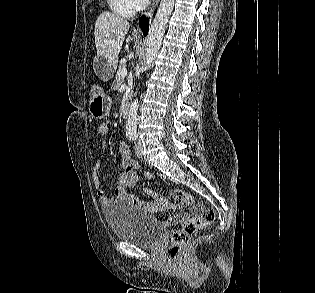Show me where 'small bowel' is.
<instances>
[{
	"instance_id": "c3829d8e",
	"label": "small bowel",
	"mask_w": 315,
	"mask_h": 293,
	"mask_svg": "<svg viewBox=\"0 0 315 293\" xmlns=\"http://www.w3.org/2000/svg\"><path fill=\"white\" fill-rule=\"evenodd\" d=\"M100 149L106 150L108 147V143L103 140L100 142ZM119 153L122 157L121 161V170L119 173L117 186L115 189V196L110 198L105 196L104 190L101 185L100 177H99V170L101 167L100 161H96L93 165L92 169V183L95 189L96 195L99 197L100 203L103 207L110 205L113 202H126L137 207L146 208L153 213H158L166 210L172 209H179L182 205H174L164 199L162 196L157 194L156 192L152 191L149 188H144V193L150 197H152L151 201H144L131 193V188H133L137 181V169H138V162L134 160L127 146L124 143L119 145ZM152 175L147 174L146 179H149ZM189 218L188 213H176L171 215L167 220L166 223L170 225H178L184 219Z\"/></svg>"
}]
</instances>
